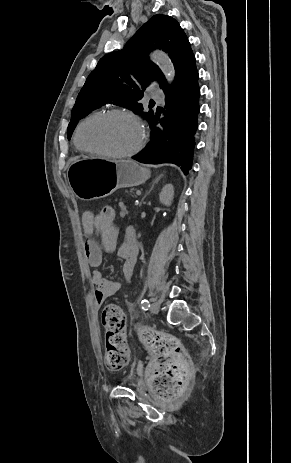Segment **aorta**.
Segmentation results:
<instances>
[{
	"mask_svg": "<svg viewBox=\"0 0 291 463\" xmlns=\"http://www.w3.org/2000/svg\"><path fill=\"white\" fill-rule=\"evenodd\" d=\"M151 57L159 65L167 81L171 83L175 76V69L169 57L161 52H154L152 53Z\"/></svg>",
	"mask_w": 291,
	"mask_h": 463,
	"instance_id": "1",
	"label": "aorta"
}]
</instances>
